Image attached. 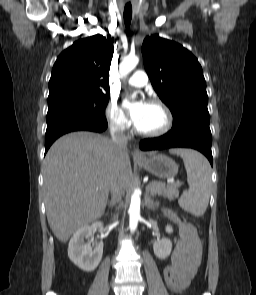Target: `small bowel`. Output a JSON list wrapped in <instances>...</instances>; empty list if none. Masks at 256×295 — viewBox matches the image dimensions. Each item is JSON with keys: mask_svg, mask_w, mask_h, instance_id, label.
<instances>
[{"mask_svg": "<svg viewBox=\"0 0 256 295\" xmlns=\"http://www.w3.org/2000/svg\"><path fill=\"white\" fill-rule=\"evenodd\" d=\"M164 215L179 228L180 239L174 247L171 264L163 271L164 280L170 290L178 293L187 287L199 265L201 242L191 223L181 220L170 210H164Z\"/></svg>", "mask_w": 256, "mask_h": 295, "instance_id": "small-bowel-1", "label": "small bowel"}]
</instances>
